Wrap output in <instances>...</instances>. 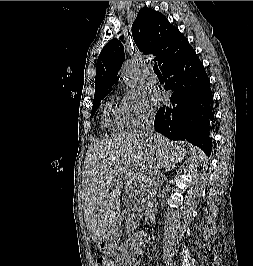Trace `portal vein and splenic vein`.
<instances>
[{
  "instance_id": "portal-vein-and-splenic-vein-1",
  "label": "portal vein and splenic vein",
  "mask_w": 253,
  "mask_h": 266,
  "mask_svg": "<svg viewBox=\"0 0 253 266\" xmlns=\"http://www.w3.org/2000/svg\"><path fill=\"white\" fill-rule=\"evenodd\" d=\"M114 181H116V180H114ZM129 188H131V191L133 192V194H136L138 192L136 184H134L133 186H129ZM130 197H131V195H130Z\"/></svg>"
}]
</instances>
